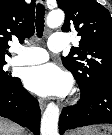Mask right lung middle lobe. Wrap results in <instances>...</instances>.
Masks as SVG:
<instances>
[{
  "label": "right lung middle lobe",
  "instance_id": "dd1d6c3e",
  "mask_svg": "<svg viewBox=\"0 0 112 135\" xmlns=\"http://www.w3.org/2000/svg\"><path fill=\"white\" fill-rule=\"evenodd\" d=\"M5 64L6 61H0V91L8 89L18 80L17 77H12L11 73L3 69Z\"/></svg>",
  "mask_w": 112,
  "mask_h": 135
}]
</instances>
